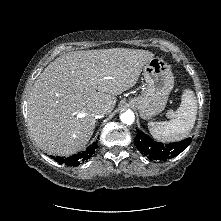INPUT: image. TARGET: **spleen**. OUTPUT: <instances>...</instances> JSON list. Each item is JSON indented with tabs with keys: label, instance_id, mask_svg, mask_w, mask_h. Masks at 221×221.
Wrapping results in <instances>:
<instances>
[{
	"label": "spleen",
	"instance_id": "spleen-1",
	"mask_svg": "<svg viewBox=\"0 0 221 221\" xmlns=\"http://www.w3.org/2000/svg\"><path fill=\"white\" fill-rule=\"evenodd\" d=\"M196 115L197 100L195 94L191 89H185L173 119L165 122H149L148 129L158 141H179L189 135L194 127Z\"/></svg>",
	"mask_w": 221,
	"mask_h": 221
}]
</instances>
